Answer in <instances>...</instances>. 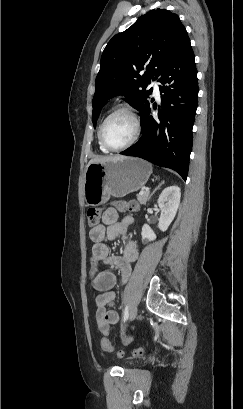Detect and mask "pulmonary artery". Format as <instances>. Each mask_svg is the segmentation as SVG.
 Here are the masks:
<instances>
[{"instance_id":"obj_1","label":"pulmonary artery","mask_w":243,"mask_h":409,"mask_svg":"<svg viewBox=\"0 0 243 409\" xmlns=\"http://www.w3.org/2000/svg\"><path fill=\"white\" fill-rule=\"evenodd\" d=\"M152 87H153V91L155 95H159V85H158V81L155 79L152 81L151 83Z\"/></svg>"}]
</instances>
